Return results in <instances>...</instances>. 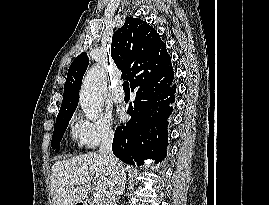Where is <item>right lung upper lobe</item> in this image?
<instances>
[{"instance_id":"obj_1","label":"right lung upper lobe","mask_w":269,"mask_h":205,"mask_svg":"<svg viewBox=\"0 0 269 205\" xmlns=\"http://www.w3.org/2000/svg\"><path fill=\"white\" fill-rule=\"evenodd\" d=\"M111 56L130 81L132 90L173 79L174 72L165 43L146 22L127 17L113 35ZM89 63L86 52L71 63L64 84V96L57 119L71 115L78 105V92Z\"/></svg>"}]
</instances>
